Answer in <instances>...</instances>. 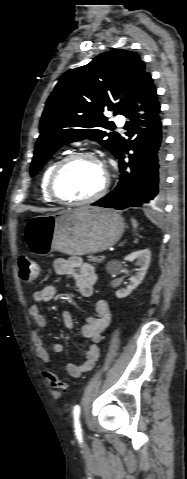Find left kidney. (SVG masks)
<instances>
[{"label":"left kidney","instance_id":"1","mask_svg":"<svg viewBox=\"0 0 187 479\" xmlns=\"http://www.w3.org/2000/svg\"><path fill=\"white\" fill-rule=\"evenodd\" d=\"M125 261L136 260V274L130 278V284L116 292L117 298L127 297L144 279L151 260V253L148 249L132 252L124 258ZM122 269V264L112 260L107 264L106 270L111 275H117Z\"/></svg>","mask_w":187,"mask_h":479}]
</instances>
